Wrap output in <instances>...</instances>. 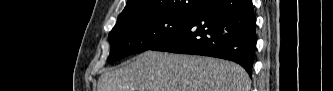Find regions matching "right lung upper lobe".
Here are the masks:
<instances>
[{
    "label": "right lung upper lobe",
    "instance_id": "obj_1",
    "mask_svg": "<svg viewBox=\"0 0 333 91\" xmlns=\"http://www.w3.org/2000/svg\"><path fill=\"white\" fill-rule=\"evenodd\" d=\"M204 0H128L116 25L129 20L156 14H197Z\"/></svg>",
    "mask_w": 333,
    "mask_h": 91
}]
</instances>
